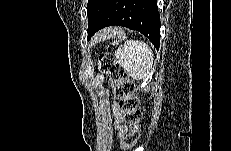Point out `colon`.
I'll return each mask as SVG.
<instances>
[{
    "label": "colon",
    "instance_id": "obj_1",
    "mask_svg": "<svg viewBox=\"0 0 231 151\" xmlns=\"http://www.w3.org/2000/svg\"><path fill=\"white\" fill-rule=\"evenodd\" d=\"M99 67L115 83L114 93L119 99L123 117L128 124V129L121 138V148L127 150L134 146L141 134L139 123L142 114L138 108V100L134 96L135 85L127 77L125 70L112 55H101L99 57Z\"/></svg>",
    "mask_w": 231,
    "mask_h": 151
}]
</instances>
